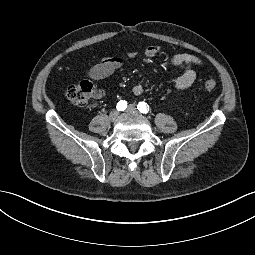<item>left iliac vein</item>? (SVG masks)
I'll use <instances>...</instances> for the list:
<instances>
[{"mask_svg":"<svg viewBox=\"0 0 255 255\" xmlns=\"http://www.w3.org/2000/svg\"><path fill=\"white\" fill-rule=\"evenodd\" d=\"M127 112L136 113L137 112L136 106L133 105V104L129 105L128 108H127Z\"/></svg>","mask_w":255,"mask_h":255,"instance_id":"obj_1","label":"left iliac vein"}]
</instances>
